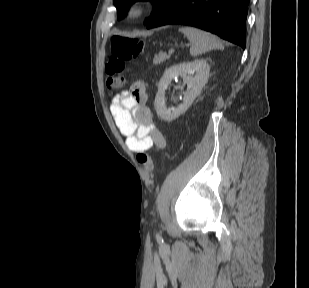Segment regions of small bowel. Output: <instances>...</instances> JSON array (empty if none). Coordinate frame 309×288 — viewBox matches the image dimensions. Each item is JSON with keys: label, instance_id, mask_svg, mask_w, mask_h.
<instances>
[{"label": "small bowel", "instance_id": "obj_1", "mask_svg": "<svg viewBox=\"0 0 309 288\" xmlns=\"http://www.w3.org/2000/svg\"><path fill=\"white\" fill-rule=\"evenodd\" d=\"M110 111L130 151L139 153L154 146L165 147V137L153 121L143 84L135 83L129 90L116 95Z\"/></svg>", "mask_w": 309, "mask_h": 288}]
</instances>
